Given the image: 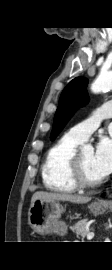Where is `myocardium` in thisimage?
I'll return each instance as SVG.
<instances>
[{
	"mask_svg": "<svg viewBox=\"0 0 112 270\" xmlns=\"http://www.w3.org/2000/svg\"><path fill=\"white\" fill-rule=\"evenodd\" d=\"M79 152L76 151L68 161L67 171L71 182L79 189L96 188L103 182V179L97 181H87L82 174Z\"/></svg>",
	"mask_w": 112,
	"mask_h": 270,
	"instance_id": "1",
	"label": "myocardium"
}]
</instances>
